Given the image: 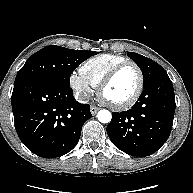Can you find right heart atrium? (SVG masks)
Instances as JSON below:
<instances>
[{"mask_svg":"<svg viewBox=\"0 0 193 193\" xmlns=\"http://www.w3.org/2000/svg\"><path fill=\"white\" fill-rule=\"evenodd\" d=\"M69 85L81 102H86L93 93L90 83L78 72L70 74Z\"/></svg>","mask_w":193,"mask_h":193,"instance_id":"d8ad5b80","label":"right heart atrium"}]
</instances>
